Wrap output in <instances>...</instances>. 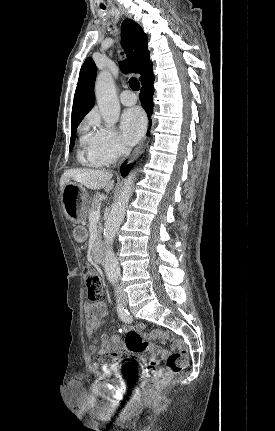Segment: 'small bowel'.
I'll list each match as a JSON object with an SVG mask.
<instances>
[{
  "mask_svg": "<svg viewBox=\"0 0 275 431\" xmlns=\"http://www.w3.org/2000/svg\"><path fill=\"white\" fill-rule=\"evenodd\" d=\"M73 235L75 240L80 243L85 242L87 239L86 232L81 228L75 229ZM85 314V328L89 339V351L97 355L96 364L106 367L109 362L120 361L125 347L118 335L109 337L107 334H101L98 338L95 337L97 327L106 314V305L104 302L94 301L88 303L85 306ZM136 328L138 330H143L145 326L139 324ZM102 356H106L108 360L106 362L101 361ZM153 360H155V358H153Z\"/></svg>",
  "mask_w": 275,
  "mask_h": 431,
  "instance_id": "c3829d8e",
  "label": "small bowel"
}]
</instances>
